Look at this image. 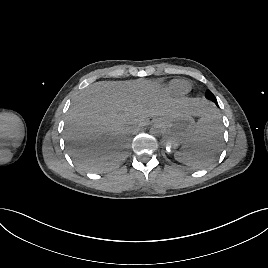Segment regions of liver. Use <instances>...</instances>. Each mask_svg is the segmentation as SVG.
<instances>
[{"label":"liver","mask_w":268,"mask_h":268,"mask_svg":"<svg viewBox=\"0 0 268 268\" xmlns=\"http://www.w3.org/2000/svg\"><path fill=\"white\" fill-rule=\"evenodd\" d=\"M210 109L199 98H171L147 80L99 81L74 97L64 138L78 167L103 172L122 160L132 129L145 126L150 118L181 113L204 117Z\"/></svg>","instance_id":"obj_1"}]
</instances>
